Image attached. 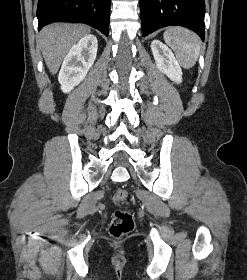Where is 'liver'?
<instances>
[{
	"mask_svg": "<svg viewBox=\"0 0 247 280\" xmlns=\"http://www.w3.org/2000/svg\"><path fill=\"white\" fill-rule=\"evenodd\" d=\"M89 31L85 25L70 23L50 24L40 31L38 43L50 73H57L66 54Z\"/></svg>",
	"mask_w": 247,
	"mask_h": 280,
	"instance_id": "1",
	"label": "liver"
}]
</instances>
